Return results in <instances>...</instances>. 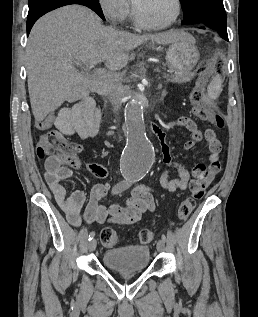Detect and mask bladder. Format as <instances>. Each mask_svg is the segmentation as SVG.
<instances>
[{"label": "bladder", "mask_w": 258, "mask_h": 317, "mask_svg": "<svg viewBox=\"0 0 258 317\" xmlns=\"http://www.w3.org/2000/svg\"><path fill=\"white\" fill-rule=\"evenodd\" d=\"M103 263L117 271H142L150 261V249L147 245H129L107 250L103 254Z\"/></svg>", "instance_id": "obj_1"}]
</instances>
